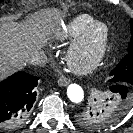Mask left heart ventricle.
Returning <instances> with one entry per match:
<instances>
[{"label":"left heart ventricle","mask_w":133,"mask_h":133,"mask_svg":"<svg viewBox=\"0 0 133 133\" xmlns=\"http://www.w3.org/2000/svg\"><path fill=\"white\" fill-rule=\"evenodd\" d=\"M102 28L98 27L96 28L93 33L90 36L89 39V43L87 45V48L85 49L84 53H83V57H88L89 55H91V53L93 52V50L96 48V46L98 45L101 36H102Z\"/></svg>","instance_id":"b2bd125f"}]
</instances>
